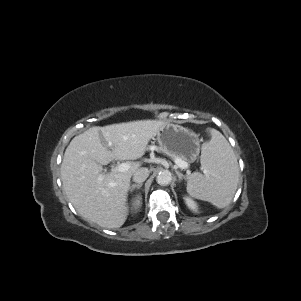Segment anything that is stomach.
I'll return each mask as SVG.
<instances>
[{"label": "stomach", "mask_w": 301, "mask_h": 301, "mask_svg": "<svg viewBox=\"0 0 301 301\" xmlns=\"http://www.w3.org/2000/svg\"><path fill=\"white\" fill-rule=\"evenodd\" d=\"M157 141L167 155L194 162L200 153L199 136L192 130L167 123L157 131Z\"/></svg>", "instance_id": "obj_1"}]
</instances>
